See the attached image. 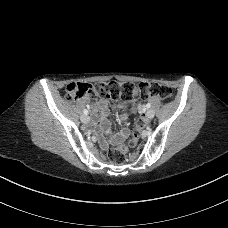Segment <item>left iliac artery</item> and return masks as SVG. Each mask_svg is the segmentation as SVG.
<instances>
[{
  "label": "left iliac artery",
  "instance_id": "obj_1",
  "mask_svg": "<svg viewBox=\"0 0 228 228\" xmlns=\"http://www.w3.org/2000/svg\"><path fill=\"white\" fill-rule=\"evenodd\" d=\"M146 107H147V108H150V107H151V104H150V103H147V104H146Z\"/></svg>",
  "mask_w": 228,
  "mask_h": 228
}]
</instances>
